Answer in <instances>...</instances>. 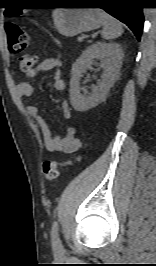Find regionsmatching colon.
I'll use <instances>...</instances> for the list:
<instances>
[{
  "label": "colon",
  "instance_id": "obj_1",
  "mask_svg": "<svg viewBox=\"0 0 156 266\" xmlns=\"http://www.w3.org/2000/svg\"><path fill=\"white\" fill-rule=\"evenodd\" d=\"M6 35H7V44L8 49L12 54H19L23 52L29 41L28 34L18 25L16 24H7L5 27ZM37 62V58L35 56L23 55L18 59L19 68L22 71H28L32 69ZM82 159V155L76 156L74 159L67 160L64 162L51 161L47 160L43 162L42 170L45 176V179L48 182H53L59 174V169L71 166L75 162H78Z\"/></svg>",
  "mask_w": 156,
  "mask_h": 266
}]
</instances>
